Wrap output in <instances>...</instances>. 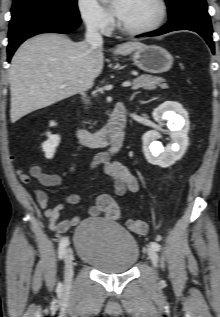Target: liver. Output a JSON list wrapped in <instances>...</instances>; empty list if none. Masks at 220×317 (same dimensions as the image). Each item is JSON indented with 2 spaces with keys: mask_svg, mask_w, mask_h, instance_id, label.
I'll return each mask as SVG.
<instances>
[{
  "mask_svg": "<svg viewBox=\"0 0 220 317\" xmlns=\"http://www.w3.org/2000/svg\"><path fill=\"white\" fill-rule=\"evenodd\" d=\"M140 42L118 45L114 53L128 55ZM102 47L73 42L54 33L37 35L15 52L9 70L12 123L38 109L88 89L103 69ZM67 84L66 87L62 85Z\"/></svg>",
  "mask_w": 220,
  "mask_h": 317,
  "instance_id": "liver-1",
  "label": "liver"
}]
</instances>
